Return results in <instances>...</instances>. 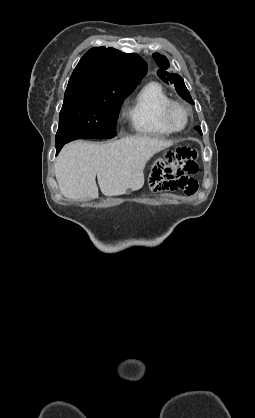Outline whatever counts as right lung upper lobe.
<instances>
[{"label": "right lung upper lobe", "mask_w": 255, "mask_h": 418, "mask_svg": "<svg viewBox=\"0 0 255 418\" xmlns=\"http://www.w3.org/2000/svg\"><path fill=\"white\" fill-rule=\"evenodd\" d=\"M146 72L147 64L137 54L95 47L81 58L67 88L133 90Z\"/></svg>", "instance_id": "1"}]
</instances>
